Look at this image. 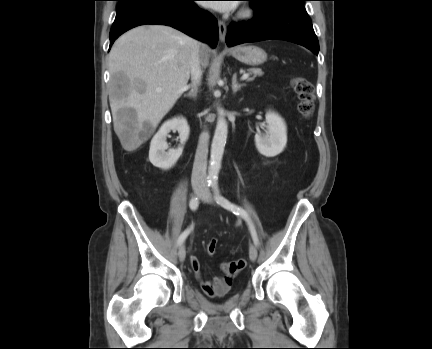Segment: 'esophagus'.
<instances>
[{
	"label": "esophagus",
	"mask_w": 432,
	"mask_h": 349,
	"mask_svg": "<svg viewBox=\"0 0 432 349\" xmlns=\"http://www.w3.org/2000/svg\"><path fill=\"white\" fill-rule=\"evenodd\" d=\"M218 29H219V39L221 42H225L226 34H227V27L226 24L222 21H218Z\"/></svg>",
	"instance_id": "34e87169"
}]
</instances>
